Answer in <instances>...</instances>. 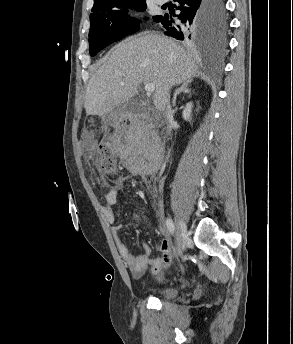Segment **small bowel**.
<instances>
[{
    "label": "small bowel",
    "instance_id": "obj_1",
    "mask_svg": "<svg viewBox=\"0 0 293 344\" xmlns=\"http://www.w3.org/2000/svg\"><path fill=\"white\" fill-rule=\"evenodd\" d=\"M120 189L121 184L119 183L107 192L105 196V206L103 207L104 217L106 221L111 224V233L117 251L134 278H141L149 266L152 268L153 272H159L169 265L173 257V250L169 240L165 237V231L162 226L159 227V231L163 235L158 245L162 253L161 256L151 258V247L147 243L142 245V254L135 255L131 253L119 236L121 225L115 223L116 212L113 207L118 203ZM198 293L199 292L196 291L194 294L197 295Z\"/></svg>",
    "mask_w": 293,
    "mask_h": 344
}]
</instances>
